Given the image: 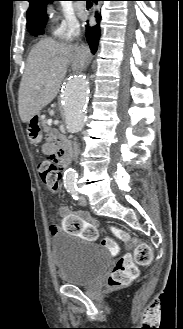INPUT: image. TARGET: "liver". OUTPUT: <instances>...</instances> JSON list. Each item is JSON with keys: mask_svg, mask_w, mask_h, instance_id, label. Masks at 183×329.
<instances>
[{"mask_svg": "<svg viewBox=\"0 0 183 329\" xmlns=\"http://www.w3.org/2000/svg\"><path fill=\"white\" fill-rule=\"evenodd\" d=\"M77 49L46 38L31 50L18 94L22 122H29L56 97L68 64L73 70L82 69L76 60Z\"/></svg>", "mask_w": 183, "mask_h": 329, "instance_id": "1", "label": "liver"}]
</instances>
